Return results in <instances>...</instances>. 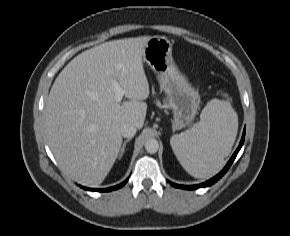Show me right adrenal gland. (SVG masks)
<instances>
[{
    "label": "right adrenal gland",
    "instance_id": "right-adrenal-gland-1",
    "mask_svg": "<svg viewBox=\"0 0 290 236\" xmlns=\"http://www.w3.org/2000/svg\"><path fill=\"white\" fill-rule=\"evenodd\" d=\"M131 139H127L123 142V145L121 147V150H120V153H119V158H121L123 156V154L125 153V147H126V144L130 141Z\"/></svg>",
    "mask_w": 290,
    "mask_h": 236
}]
</instances>
